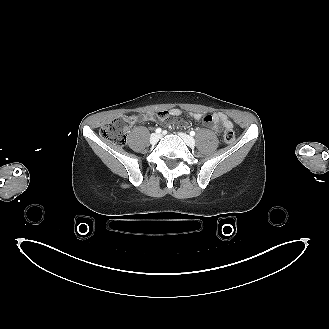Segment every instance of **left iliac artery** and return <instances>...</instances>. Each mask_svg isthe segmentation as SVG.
<instances>
[{"instance_id": "left-iliac-artery-1", "label": "left iliac artery", "mask_w": 329, "mask_h": 329, "mask_svg": "<svg viewBox=\"0 0 329 329\" xmlns=\"http://www.w3.org/2000/svg\"><path fill=\"white\" fill-rule=\"evenodd\" d=\"M190 135H191V136H194V135H195V132H194V131H191V132H190Z\"/></svg>"}]
</instances>
